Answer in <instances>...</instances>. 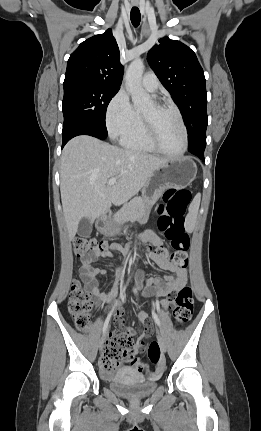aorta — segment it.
I'll return each instance as SVG.
<instances>
[{
    "instance_id": "1",
    "label": "aorta",
    "mask_w": 261,
    "mask_h": 431,
    "mask_svg": "<svg viewBox=\"0 0 261 431\" xmlns=\"http://www.w3.org/2000/svg\"><path fill=\"white\" fill-rule=\"evenodd\" d=\"M143 71V61L135 59L130 63L125 76V85L131 94L132 102L136 108L144 107L150 103L149 95L141 84Z\"/></svg>"
}]
</instances>
